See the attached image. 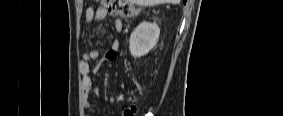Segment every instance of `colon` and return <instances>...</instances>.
Masks as SVG:
<instances>
[{"mask_svg":"<svg viewBox=\"0 0 283 116\" xmlns=\"http://www.w3.org/2000/svg\"><path fill=\"white\" fill-rule=\"evenodd\" d=\"M107 10L123 18H134L138 14V9L131 0H103ZM136 107L131 105L123 111L124 116L135 115Z\"/></svg>","mask_w":283,"mask_h":116,"instance_id":"obj_1","label":"colon"}]
</instances>
